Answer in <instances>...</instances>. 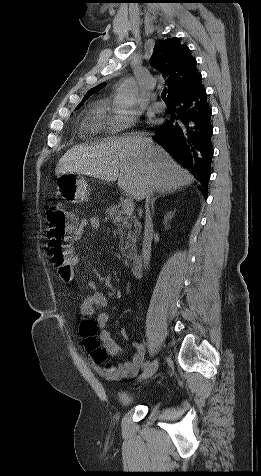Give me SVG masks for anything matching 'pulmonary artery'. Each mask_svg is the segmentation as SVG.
<instances>
[{
	"instance_id": "pulmonary-artery-1",
	"label": "pulmonary artery",
	"mask_w": 261,
	"mask_h": 476,
	"mask_svg": "<svg viewBox=\"0 0 261 476\" xmlns=\"http://www.w3.org/2000/svg\"><path fill=\"white\" fill-rule=\"evenodd\" d=\"M152 105L157 111H164L165 109L164 104L160 101H154Z\"/></svg>"
}]
</instances>
